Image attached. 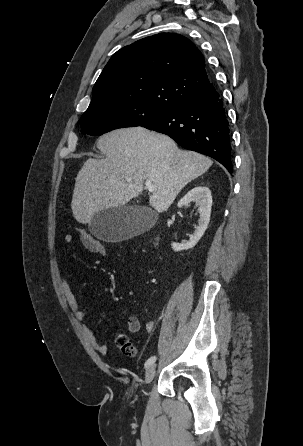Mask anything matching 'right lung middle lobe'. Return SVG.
<instances>
[{
	"label": "right lung middle lobe",
	"instance_id": "1",
	"mask_svg": "<svg viewBox=\"0 0 303 446\" xmlns=\"http://www.w3.org/2000/svg\"><path fill=\"white\" fill-rule=\"evenodd\" d=\"M171 108L126 102L87 109L79 120L81 132L98 136L118 128L141 126Z\"/></svg>",
	"mask_w": 303,
	"mask_h": 446
}]
</instances>
